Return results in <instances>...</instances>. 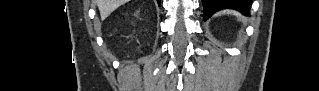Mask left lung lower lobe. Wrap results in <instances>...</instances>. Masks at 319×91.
Here are the masks:
<instances>
[{"instance_id":"left-lung-lower-lobe-1","label":"left lung lower lobe","mask_w":319,"mask_h":91,"mask_svg":"<svg viewBox=\"0 0 319 91\" xmlns=\"http://www.w3.org/2000/svg\"><path fill=\"white\" fill-rule=\"evenodd\" d=\"M252 0H202L204 7V20L213 13L225 8L236 9L244 15H249Z\"/></svg>"}]
</instances>
